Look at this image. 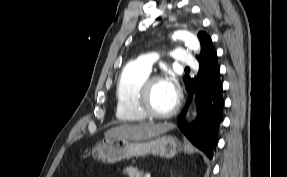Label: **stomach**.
<instances>
[{
	"mask_svg": "<svg viewBox=\"0 0 287 177\" xmlns=\"http://www.w3.org/2000/svg\"><path fill=\"white\" fill-rule=\"evenodd\" d=\"M179 150L180 144L176 138L161 134L141 141L106 138L93 147L92 155L96 160L101 162L116 163L148 154L163 158H172Z\"/></svg>",
	"mask_w": 287,
	"mask_h": 177,
	"instance_id": "stomach-1",
	"label": "stomach"
}]
</instances>
